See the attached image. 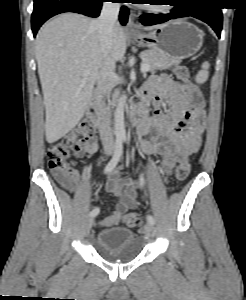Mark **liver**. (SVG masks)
<instances>
[{"instance_id": "6515ba94", "label": "liver", "mask_w": 246, "mask_h": 300, "mask_svg": "<svg viewBox=\"0 0 246 300\" xmlns=\"http://www.w3.org/2000/svg\"><path fill=\"white\" fill-rule=\"evenodd\" d=\"M94 21L77 13H63L47 22L37 34L35 57L44 97L48 143L58 141L79 123L105 67L107 57L102 52ZM113 34L108 56L114 62L122 61L127 47L126 34L118 23ZM85 70L90 71L88 76L83 75Z\"/></svg>"}]
</instances>
